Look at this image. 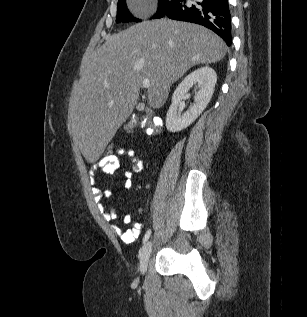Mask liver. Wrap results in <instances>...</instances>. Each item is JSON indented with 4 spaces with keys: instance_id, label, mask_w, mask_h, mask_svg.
<instances>
[{
    "instance_id": "obj_1",
    "label": "liver",
    "mask_w": 307,
    "mask_h": 317,
    "mask_svg": "<svg viewBox=\"0 0 307 317\" xmlns=\"http://www.w3.org/2000/svg\"><path fill=\"white\" fill-rule=\"evenodd\" d=\"M225 42L200 25L160 19L108 35L88 62L70 101L72 133L96 161L132 113L144 79L149 105L161 107L170 86L191 67L223 59Z\"/></svg>"
}]
</instances>
